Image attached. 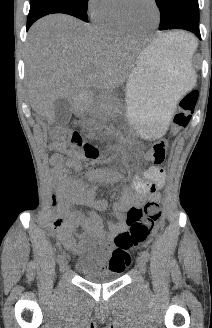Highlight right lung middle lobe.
Wrapping results in <instances>:
<instances>
[{"instance_id": "obj_1", "label": "right lung middle lobe", "mask_w": 212, "mask_h": 328, "mask_svg": "<svg viewBox=\"0 0 212 328\" xmlns=\"http://www.w3.org/2000/svg\"><path fill=\"white\" fill-rule=\"evenodd\" d=\"M41 1V0H30V4ZM53 1H64L67 2L77 8H79L81 11L86 13V7L88 5V0H53Z\"/></svg>"}]
</instances>
